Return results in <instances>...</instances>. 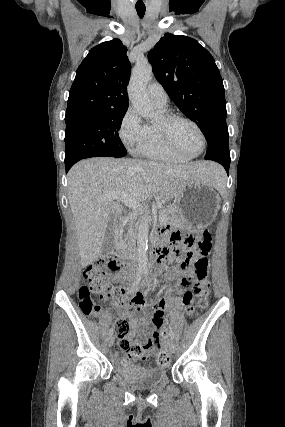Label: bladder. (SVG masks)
Wrapping results in <instances>:
<instances>
[{
	"instance_id": "31cf9c89",
	"label": "bladder",
	"mask_w": 285,
	"mask_h": 427,
	"mask_svg": "<svg viewBox=\"0 0 285 427\" xmlns=\"http://www.w3.org/2000/svg\"><path fill=\"white\" fill-rule=\"evenodd\" d=\"M115 373L123 380L137 388H148L159 384L167 376L166 370L160 366L145 367L139 364H128L122 368H115Z\"/></svg>"
}]
</instances>
